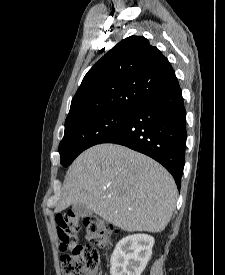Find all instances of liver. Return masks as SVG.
<instances>
[{
  "label": "liver",
  "instance_id": "liver-1",
  "mask_svg": "<svg viewBox=\"0 0 225 275\" xmlns=\"http://www.w3.org/2000/svg\"><path fill=\"white\" fill-rule=\"evenodd\" d=\"M169 172L153 159L117 144H98L69 167L55 212L85 204L124 231L161 232L176 205Z\"/></svg>",
  "mask_w": 225,
  "mask_h": 275
}]
</instances>
